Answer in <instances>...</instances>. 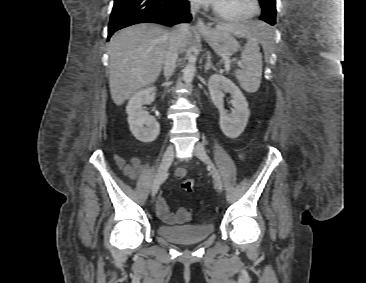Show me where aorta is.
I'll list each match as a JSON object with an SVG mask.
<instances>
[{
    "label": "aorta",
    "instance_id": "aorta-1",
    "mask_svg": "<svg viewBox=\"0 0 366 283\" xmlns=\"http://www.w3.org/2000/svg\"><path fill=\"white\" fill-rule=\"evenodd\" d=\"M196 72V56L190 55L185 68L183 69V81L189 84L193 81Z\"/></svg>",
    "mask_w": 366,
    "mask_h": 283
}]
</instances>
